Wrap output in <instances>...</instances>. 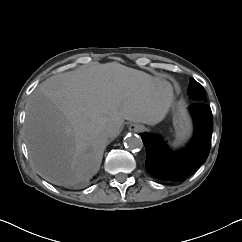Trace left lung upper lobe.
<instances>
[{
	"label": "left lung upper lobe",
	"mask_w": 242,
	"mask_h": 242,
	"mask_svg": "<svg viewBox=\"0 0 242 242\" xmlns=\"http://www.w3.org/2000/svg\"><path fill=\"white\" fill-rule=\"evenodd\" d=\"M187 93L195 101L207 102L203 87L193 78L190 79Z\"/></svg>",
	"instance_id": "left-lung-upper-lobe-1"
}]
</instances>
